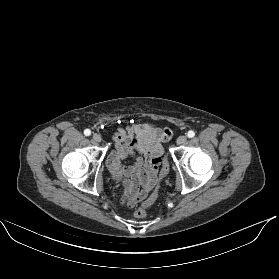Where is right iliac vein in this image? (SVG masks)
Masks as SVG:
<instances>
[{
    "label": "right iliac vein",
    "instance_id": "1",
    "mask_svg": "<svg viewBox=\"0 0 279 279\" xmlns=\"http://www.w3.org/2000/svg\"><path fill=\"white\" fill-rule=\"evenodd\" d=\"M92 138L96 142H101V140H102L101 136L97 133L93 134Z\"/></svg>",
    "mask_w": 279,
    "mask_h": 279
}]
</instances>
